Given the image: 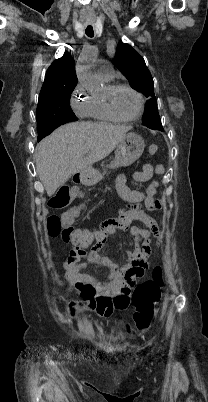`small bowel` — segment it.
Instances as JSON below:
<instances>
[{"mask_svg":"<svg viewBox=\"0 0 208 402\" xmlns=\"http://www.w3.org/2000/svg\"><path fill=\"white\" fill-rule=\"evenodd\" d=\"M164 171L162 165L153 166L149 163L143 165L141 170L133 173V179L137 182H147L156 175H161ZM158 183L153 182L145 190H132L127 186V176L121 174L116 183L120 197L127 202V207L120 213L124 216L123 221H100L98 231L94 232V237L98 238L96 245L92 247L88 260L93 264H100L106 270L104 285H101L93 276L84 272L85 263H80L79 267H66V280L70 289H75L85 300L91 296H107L114 299L116 307L122 308L127 302L131 291V286L136 278L141 277L148 267V259L153 248V238L160 241L162 232L151 219L146 211L159 210L162 206L160 200L154 198ZM132 220L142 222L145 228L132 226ZM121 228L136 242L143 241V246L136 250L126 252L127 264L122 267L111 265L101 257L100 251L104 243L108 241L107 232H115ZM110 240V239H109ZM78 321V318H75Z\"/></svg>","mask_w":208,"mask_h":402,"instance_id":"obj_1","label":"small bowel"}]
</instances>
